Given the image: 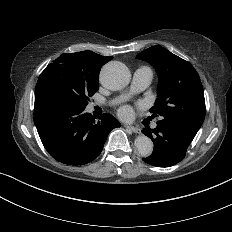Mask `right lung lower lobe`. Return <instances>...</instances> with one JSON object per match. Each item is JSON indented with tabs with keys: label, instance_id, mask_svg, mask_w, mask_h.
I'll return each instance as SVG.
<instances>
[{
	"label": "right lung lower lobe",
	"instance_id": "obj_1",
	"mask_svg": "<svg viewBox=\"0 0 232 232\" xmlns=\"http://www.w3.org/2000/svg\"><path fill=\"white\" fill-rule=\"evenodd\" d=\"M84 110L49 91L35 92L34 123L44 147L57 161L68 165L93 161L109 132L121 126L108 113L96 121Z\"/></svg>",
	"mask_w": 232,
	"mask_h": 232
}]
</instances>
